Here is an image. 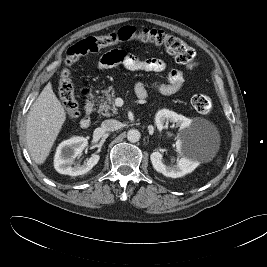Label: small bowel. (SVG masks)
Listing matches in <instances>:
<instances>
[{
	"label": "small bowel",
	"instance_id": "1",
	"mask_svg": "<svg viewBox=\"0 0 267 267\" xmlns=\"http://www.w3.org/2000/svg\"><path fill=\"white\" fill-rule=\"evenodd\" d=\"M122 66L131 71L162 72L167 68L165 61L158 58L142 60L136 55L119 49H113L101 56L98 61V68L107 70L113 67ZM185 83V77L181 70L173 69L168 73L167 81L156 82L155 89L166 96L173 95L180 91ZM135 93L140 99L147 96L146 87L143 82H137Z\"/></svg>",
	"mask_w": 267,
	"mask_h": 267
}]
</instances>
